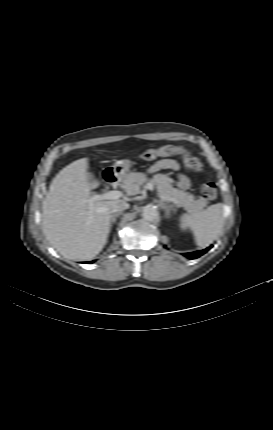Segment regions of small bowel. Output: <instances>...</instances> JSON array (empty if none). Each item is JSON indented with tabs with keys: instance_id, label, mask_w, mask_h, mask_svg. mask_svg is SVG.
<instances>
[{
	"instance_id": "1",
	"label": "small bowel",
	"mask_w": 273,
	"mask_h": 430,
	"mask_svg": "<svg viewBox=\"0 0 273 430\" xmlns=\"http://www.w3.org/2000/svg\"><path fill=\"white\" fill-rule=\"evenodd\" d=\"M179 169V164L173 160V159H161L159 161H157L156 163H154L151 167H150V172L154 173V172H158L161 170H173V171H178ZM177 185L179 188L181 189H188L191 185L190 179L183 175V174H179L178 175V179H177Z\"/></svg>"
}]
</instances>
